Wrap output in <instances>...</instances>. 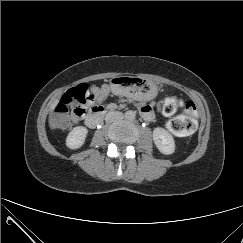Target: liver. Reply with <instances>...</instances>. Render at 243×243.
I'll return each mask as SVG.
<instances>
[{
    "label": "liver",
    "mask_w": 243,
    "mask_h": 243,
    "mask_svg": "<svg viewBox=\"0 0 243 243\" xmlns=\"http://www.w3.org/2000/svg\"><path fill=\"white\" fill-rule=\"evenodd\" d=\"M57 103H58V100H56V101L53 103V105H52V109L57 105Z\"/></svg>",
    "instance_id": "6515ba94"
}]
</instances>
